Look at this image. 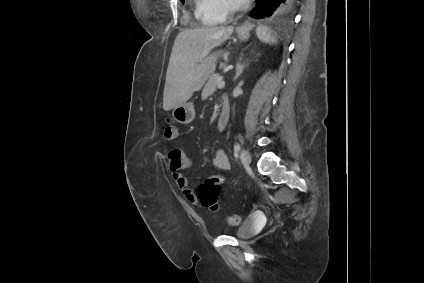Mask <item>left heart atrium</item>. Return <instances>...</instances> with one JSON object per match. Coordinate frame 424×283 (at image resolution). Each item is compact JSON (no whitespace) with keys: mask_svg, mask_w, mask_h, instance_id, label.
Returning a JSON list of instances; mask_svg holds the SVG:
<instances>
[{"mask_svg":"<svg viewBox=\"0 0 424 283\" xmlns=\"http://www.w3.org/2000/svg\"><path fill=\"white\" fill-rule=\"evenodd\" d=\"M238 4L247 3L249 0H235Z\"/></svg>","mask_w":424,"mask_h":283,"instance_id":"left-heart-atrium-1","label":"left heart atrium"}]
</instances>
